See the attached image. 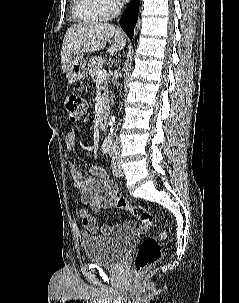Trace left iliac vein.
Returning a JSON list of instances; mask_svg holds the SVG:
<instances>
[{
	"mask_svg": "<svg viewBox=\"0 0 239 303\" xmlns=\"http://www.w3.org/2000/svg\"><path fill=\"white\" fill-rule=\"evenodd\" d=\"M111 167H112V172L116 177H120L122 175L120 161L118 158L112 161Z\"/></svg>",
	"mask_w": 239,
	"mask_h": 303,
	"instance_id": "left-iliac-vein-1",
	"label": "left iliac vein"
}]
</instances>
